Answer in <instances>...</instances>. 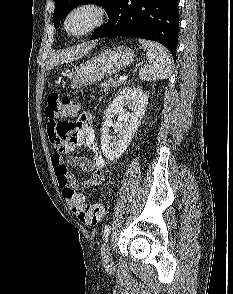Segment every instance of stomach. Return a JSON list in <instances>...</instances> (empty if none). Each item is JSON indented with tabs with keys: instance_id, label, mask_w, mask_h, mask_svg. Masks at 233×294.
<instances>
[{
	"instance_id": "1",
	"label": "stomach",
	"mask_w": 233,
	"mask_h": 294,
	"mask_svg": "<svg viewBox=\"0 0 233 294\" xmlns=\"http://www.w3.org/2000/svg\"><path fill=\"white\" fill-rule=\"evenodd\" d=\"M134 59V52L126 46L108 49L93 57L68 75L72 88H80L96 83L130 65Z\"/></svg>"
}]
</instances>
